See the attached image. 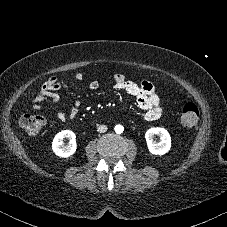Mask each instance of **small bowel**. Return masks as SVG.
I'll list each match as a JSON object with an SVG mask.
<instances>
[{
  "label": "small bowel",
  "mask_w": 227,
  "mask_h": 227,
  "mask_svg": "<svg viewBox=\"0 0 227 227\" xmlns=\"http://www.w3.org/2000/svg\"><path fill=\"white\" fill-rule=\"evenodd\" d=\"M83 75L77 74L74 77L75 81L82 80ZM113 88L121 91H125L128 94L136 98L138 107L144 112V117L148 121H154L161 117L163 108L160 103V98L155 86L147 80H143L140 83L132 82L126 79L123 74H115L112 78ZM100 86L98 80L92 81L88 89L89 91H96ZM61 88V84L56 77H50L40 87L37 95L31 102V108L34 110H40L43 108V103H57L60 100L58 91ZM80 113V102L75 101L69 112L60 111L57 115L58 120L65 124L69 119H75Z\"/></svg>",
  "instance_id": "obj_1"
}]
</instances>
